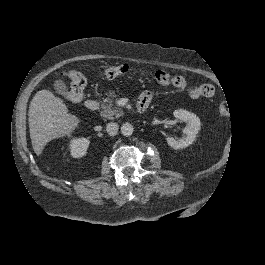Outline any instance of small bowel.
<instances>
[{"instance_id": "1", "label": "small bowel", "mask_w": 265, "mask_h": 265, "mask_svg": "<svg viewBox=\"0 0 265 265\" xmlns=\"http://www.w3.org/2000/svg\"><path fill=\"white\" fill-rule=\"evenodd\" d=\"M172 84L178 89H185L187 87V80L182 75H177L173 78ZM215 93L214 86L209 83H204L199 86L190 87L188 89V95L192 99H198L201 97H212ZM153 98V94L150 91H144L139 97V103L145 104L148 106Z\"/></svg>"}]
</instances>
